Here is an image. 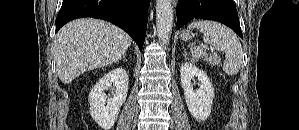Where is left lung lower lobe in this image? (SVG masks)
<instances>
[{
	"mask_svg": "<svg viewBox=\"0 0 299 130\" xmlns=\"http://www.w3.org/2000/svg\"><path fill=\"white\" fill-rule=\"evenodd\" d=\"M177 25L180 29L194 18L221 22L243 39L233 0H178Z\"/></svg>",
	"mask_w": 299,
	"mask_h": 130,
	"instance_id": "0a47b994",
	"label": "left lung lower lobe"
}]
</instances>
